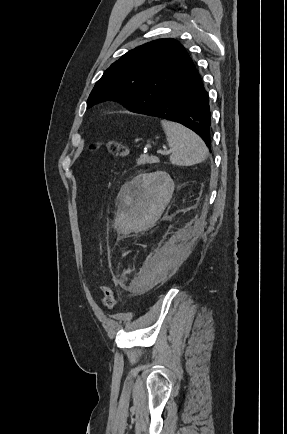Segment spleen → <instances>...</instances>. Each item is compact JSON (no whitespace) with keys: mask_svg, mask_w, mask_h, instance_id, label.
I'll return each instance as SVG.
<instances>
[{"mask_svg":"<svg viewBox=\"0 0 287 434\" xmlns=\"http://www.w3.org/2000/svg\"><path fill=\"white\" fill-rule=\"evenodd\" d=\"M161 124L172 149L170 162L173 165L190 166L206 159L208 149L197 134L179 123L162 120ZM142 222L145 224L146 220Z\"/></svg>","mask_w":287,"mask_h":434,"instance_id":"obj_1","label":"spleen"}]
</instances>
